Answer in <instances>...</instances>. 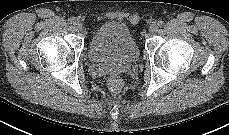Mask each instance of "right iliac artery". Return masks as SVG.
<instances>
[{
  "mask_svg": "<svg viewBox=\"0 0 229 135\" xmlns=\"http://www.w3.org/2000/svg\"><path fill=\"white\" fill-rule=\"evenodd\" d=\"M68 22H69V24H75V19L74 18H69Z\"/></svg>",
  "mask_w": 229,
  "mask_h": 135,
  "instance_id": "82829eb1",
  "label": "right iliac artery"
}]
</instances>
